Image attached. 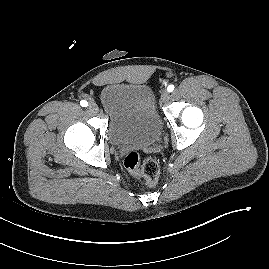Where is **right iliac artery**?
Masks as SVG:
<instances>
[{
	"instance_id": "obj_1",
	"label": "right iliac artery",
	"mask_w": 269,
	"mask_h": 269,
	"mask_svg": "<svg viewBox=\"0 0 269 269\" xmlns=\"http://www.w3.org/2000/svg\"><path fill=\"white\" fill-rule=\"evenodd\" d=\"M80 105L82 107H87L88 106V102L86 100H82V101H80Z\"/></svg>"
}]
</instances>
